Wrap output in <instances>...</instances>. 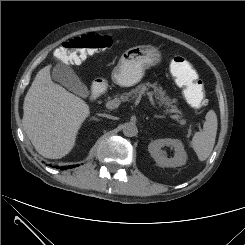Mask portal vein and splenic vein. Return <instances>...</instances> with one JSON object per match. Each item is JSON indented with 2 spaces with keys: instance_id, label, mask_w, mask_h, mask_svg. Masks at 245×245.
Masks as SVG:
<instances>
[{
  "instance_id": "portal-vein-and-splenic-vein-1",
  "label": "portal vein and splenic vein",
  "mask_w": 245,
  "mask_h": 245,
  "mask_svg": "<svg viewBox=\"0 0 245 245\" xmlns=\"http://www.w3.org/2000/svg\"><path fill=\"white\" fill-rule=\"evenodd\" d=\"M147 95H148V99H149L150 105H151L154 109H156V110H161V109L157 106V104L155 103V101H154V99H153V97H152V94L149 92V93H147ZM120 104H121V100H120L119 98H115V99H113V100L108 101V102L106 103V107H107L108 109H114V108H118V107L120 106Z\"/></svg>"
}]
</instances>
